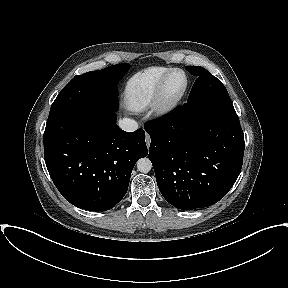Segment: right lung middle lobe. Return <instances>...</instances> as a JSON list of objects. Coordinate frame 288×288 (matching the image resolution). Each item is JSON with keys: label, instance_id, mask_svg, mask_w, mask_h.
Listing matches in <instances>:
<instances>
[{"label": "right lung middle lobe", "instance_id": "1", "mask_svg": "<svg viewBox=\"0 0 288 288\" xmlns=\"http://www.w3.org/2000/svg\"><path fill=\"white\" fill-rule=\"evenodd\" d=\"M128 63L109 66L75 76L53 102L47 123L86 108L103 112L118 109L117 81L129 69Z\"/></svg>", "mask_w": 288, "mask_h": 288}]
</instances>
